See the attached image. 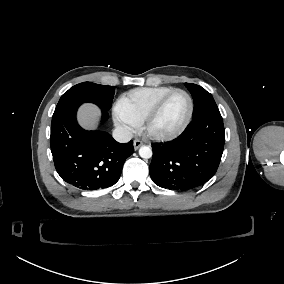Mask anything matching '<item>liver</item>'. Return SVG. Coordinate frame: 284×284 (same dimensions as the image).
I'll return each mask as SVG.
<instances>
[{"label": "liver", "mask_w": 284, "mask_h": 284, "mask_svg": "<svg viewBox=\"0 0 284 284\" xmlns=\"http://www.w3.org/2000/svg\"><path fill=\"white\" fill-rule=\"evenodd\" d=\"M100 110L92 104H84L78 112V121L87 129H96Z\"/></svg>", "instance_id": "obj_1"}]
</instances>
